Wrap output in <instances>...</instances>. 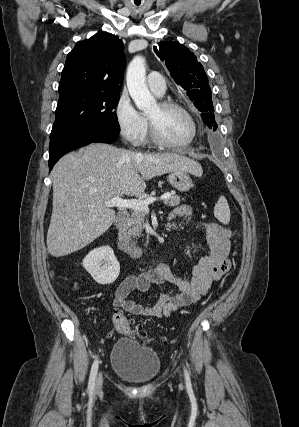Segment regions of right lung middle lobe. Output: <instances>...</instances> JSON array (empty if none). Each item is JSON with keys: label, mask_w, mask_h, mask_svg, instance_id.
Returning <instances> with one entry per match:
<instances>
[{"label": "right lung middle lobe", "mask_w": 299, "mask_h": 427, "mask_svg": "<svg viewBox=\"0 0 299 427\" xmlns=\"http://www.w3.org/2000/svg\"><path fill=\"white\" fill-rule=\"evenodd\" d=\"M119 97V93L85 92L60 99L50 138L72 130L119 133L114 111Z\"/></svg>", "instance_id": "right-lung-middle-lobe-1"}]
</instances>
